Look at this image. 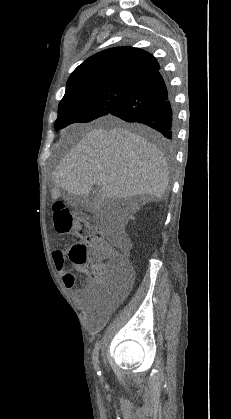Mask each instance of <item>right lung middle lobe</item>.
Returning <instances> with one entry per match:
<instances>
[{"label":"right lung middle lobe","mask_w":231,"mask_h":419,"mask_svg":"<svg viewBox=\"0 0 231 419\" xmlns=\"http://www.w3.org/2000/svg\"><path fill=\"white\" fill-rule=\"evenodd\" d=\"M132 88L126 85H104L71 92L59 103L55 130L108 115L128 96Z\"/></svg>","instance_id":"right-lung-middle-lobe-1"}]
</instances>
